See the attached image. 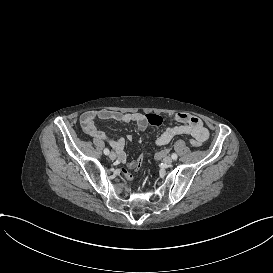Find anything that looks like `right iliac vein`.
I'll use <instances>...</instances> for the list:
<instances>
[{
  "label": "right iliac vein",
  "mask_w": 273,
  "mask_h": 273,
  "mask_svg": "<svg viewBox=\"0 0 273 273\" xmlns=\"http://www.w3.org/2000/svg\"><path fill=\"white\" fill-rule=\"evenodd\" d=\"M109 158H110L111 160H114V159L116 158V153H115V152L109 153Z\"/></svg>",
  "instance_id": "right-iliac-vein-1"
}]
</instances>
